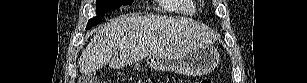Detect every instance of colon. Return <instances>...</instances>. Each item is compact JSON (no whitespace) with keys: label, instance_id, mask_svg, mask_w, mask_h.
Here are the masks:
<instances>
[{"label":"colon","instance_id":"obj_1","mask_svg":"<svg viewBox=\"0 0 307 83\" xmlns=\"http://www.w3.org/2000/svg\"><path fill=\"white\" fill-rule=\"evenodd\" d=\"M152 83H156V81H151ZM212 81L209 78H204L201 80V83H211Z\"/></svg>","mask_w":307,"mask_h":83}]
</instances>
